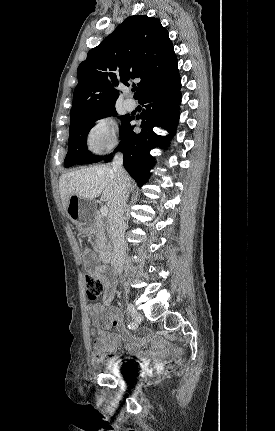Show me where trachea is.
Returning a JSON list of instances; mask_svg holds the SVG:
<instances>
[{
	"mask_svg": "<svg viewBox=\"0 0 275 431\" xmlns=\"http://www.w3.org/2000/svg\"><path fill=\"white\" fill-rule=\"evenodd\" d=\"M132 91H136V88H133Z\"/></svg>",
	"mask_w": 275,
	"mask_h": 431,
	"instance_id": "obj_1",
	"label": "trachea"
}]
</instances>
